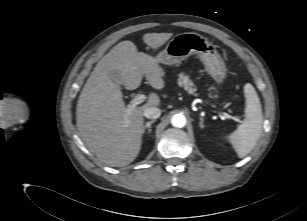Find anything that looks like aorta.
Segmentation results:
<instances>
[{"label":"aorta","instance_id":"aorta-1","mask_svg":"<svg viewBox=\"0 0 307 221\" xmlns=\"http://www.w3.org/2000/svg\"><path fill=\"white\" fill-rule=\"evenodd\" d=\"M171 124L174 127L182 128L186 125V117L181 113L175 114L171 118Z\"/></svg>","mask_w":307,"mask_h":221}]
</instances>
